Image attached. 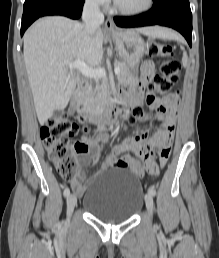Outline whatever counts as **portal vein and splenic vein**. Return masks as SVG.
<instances>
[{
  "label": "portal vein and splenic vein",
  "mask_w": 219,
  "mask_h": 258,
  "mask_svg": "<svg viewBox=\"0 0 219 258\" xmlns=\"http://www.w3.org/2000/svg\"><path fill=\"white\" fill-rule=\"evenodd\" d=\"M69 69H78L84 76L90 77V78H103L106 76V72L104 69H92L86 65L85 62L82 61H75L72 64H69ZM115 74L120 73V68L115 67L114 68Z\"/></svg>",
  "instance_id": "portal-vein-and-splenic-vein-1"
}]
</instances>
